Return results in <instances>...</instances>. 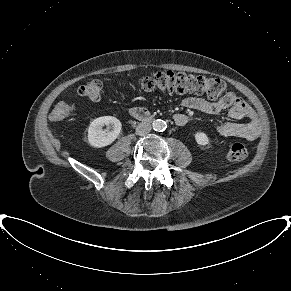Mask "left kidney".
<instances>
[{"label":"left kidney","instance_id":"5707ae66","mask_svg":"<svg viewBox=\"0 0 291 291\" xmlns=\"http://www.w3.org/2000/svg\"><path fill=\"white\" fill-rule=\"evenodd\" d=\"M195 140L201 146H206L209 144L208 136L203 132H196L195 133Z\"/></svg>","mask_w":291,"mask_h":291}]
</instances>
